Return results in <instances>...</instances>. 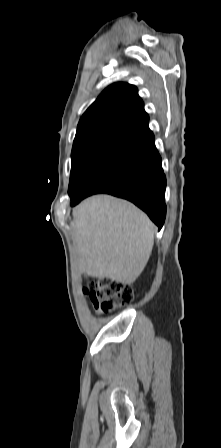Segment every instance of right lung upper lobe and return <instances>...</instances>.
I'll return each mask as SVG.
<instances>
[{
	"instance_id": "1",
	"label": "right lung upper lobe",
	"mask_w": 221,
	"mask_h": 448,
	"mask_svg": "<svg viewBox=\"0 0 221 448\" xmlns=\"http://www.w3.org/2000/svg\"><path fill=\"white\" fill-rule=\"evenodd\" d=\"M148 122L137 88L127 83L112 84L83 114L72 150L94 144L116 146Z\"/></svg>"
}]
</instances>
